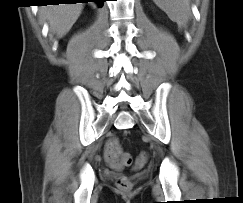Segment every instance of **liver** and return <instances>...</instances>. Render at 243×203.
<instances>
[{"mask_svg":"<svg viewBox=\"0 0 243 203\" xmlns=\"http://www.w3.org/2000/svg\"><path fill=\"white\" fill-rule=\"evenodd\" d=\"M82 9V3L42 6L40 18L47 21L58 36L63 37L76 22Z\"/></svg>","mask_w":243,"mask_h":203,"instance_id":"6515ba94","label":"liver"}]
</instances>
